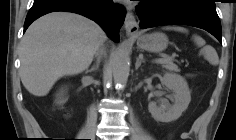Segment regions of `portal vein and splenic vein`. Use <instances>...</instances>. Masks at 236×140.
<instances>
[{
  "mask_svg": "<svg viewBox=\"0 0 236 140\" xmlns=\"http://www.w3.org/2000/svg\"><path fill=\"white\" fill-rule=\"evenodd\" d=\"M174 57L172 56H164L162 58L155 59L154 62L156 63H161V62H168V61H173Z\"/></svg>",
  "mask_w": 236,
  "mask_h": 140,
  "instance_id": "portal-vein-and-splenic-vein-1",
  "label": "portal vein and splenic vein"
}]
</instances>
